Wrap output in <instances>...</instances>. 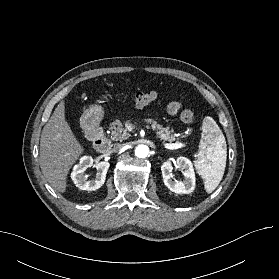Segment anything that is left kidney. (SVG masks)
<instances>
[{
	"mask_svg": "<svg viewBox=\"0 0 279 279\" xmlns=\"http://www.w3.org/2000/svg\"><path fill=\"white\" fill-rule=\"evenodd\" d=\"M176 168H179L184 173V179L182 181H173L172 179V162L166 161L161 166V172L163 182L167 188L176 194H189L193 192L195 188V172L192 162L186 157H178L174 161Z\"/></svg>",
	"mask_w": 279,
	"mask_h": 279,
	"instance_id": "obj_1",
	"label": "left kidney"
}]
</instances>
